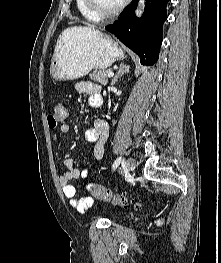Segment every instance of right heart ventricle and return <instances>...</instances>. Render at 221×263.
<instances>
[{
    "label": "right heart ventricle",
    "instance_id": "right-heart-ventricle-1",
    "mask_svg": "<svg viewBox=\"0 0 221 263\" xmlns=\"http://www.w3.org/2000/svg\"><path fill=\"white\" fill-rule=\"evenodd\" d=\"M76 6L80 14L85 17L86 19L90 21H98L99 18H97L92 12H90L86 5L84 0H76Z\"/></svg>",
    "mask_w": 221,
    "mask_h": 263
}]
</instances>
